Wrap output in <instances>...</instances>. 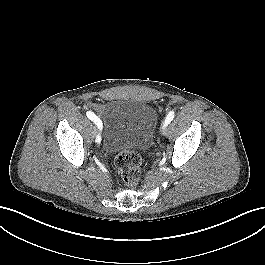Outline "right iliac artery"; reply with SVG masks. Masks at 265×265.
Listing matches in <instances>:
<instances>
[{"instance_id": "1", "label": "right iliac artery", "mask_w": 265, "mask_h": 265, "mask_svg": "<svg viewBox=\"0 0 265 265\" xmlns=\"http://www.w3.org/2000/svg\"><path fill=\"white\" fill-rule=\"evenodd\" d=\"M86 115H87V117L91 120V121H93L96 125H97V127L101 130L102 129V122H101V120L92 112V111H87L86 112ZM100 141H101V136H100V134L99 135H97V137H96V142L97 143H100Z\"/></svg>"}]
</instances>
